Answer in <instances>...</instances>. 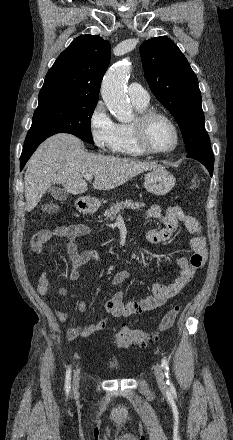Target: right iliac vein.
Wrapping results in <instances>:
<instances>
[{"label":"right iliac vein","mask_w":233,"mask_h":440,"mask_svg":"<svg viewBox=\"0 0 233 440\" xmlns=\"http://www.w3.org/2000/svg\"><path fill=\"white\" fill-rule=\"evenodd\" d=\"M79 389V374H74V380H73V391L74 393H77Z\"/></svg>","instance_id":"right-iliac-vein-1"}]
</instances>
